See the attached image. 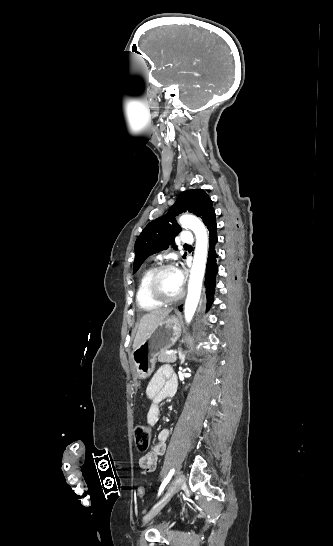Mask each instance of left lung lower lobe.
<instances>
[{"label": "left lung lower lobe", "mask_w": 333, "mask_h": 546, "mask_svg": "<svg viewBox=\"0 0 333 546\" xmlns=\"http://www.w3.org/2000/svg\"><path fill=\"white\" fill-rule=\"evenodd\" d=\"M206 231L208 233L209 240V251L206 264V274H205V289L207 297V311L214 300V292L216 287V274L218 272L217 265V254L215 250V245L217 243V225H216V215H213L208 224L206 225ZM182 310V306L179 307Z\"/></svg>", "instance_id": "0a47b994"}]
</instances>
